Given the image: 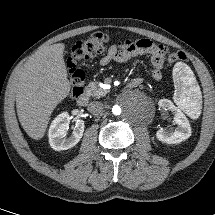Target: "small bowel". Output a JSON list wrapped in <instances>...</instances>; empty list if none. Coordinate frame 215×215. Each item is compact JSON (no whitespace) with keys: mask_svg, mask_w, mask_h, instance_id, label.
Listing matches in <instances>:
<instances>
[{"mask_svg":"<svg viewBox=\"0 0 215 215\" xmlns=\"http://www.w3.org/2000/svg\"><path fill=\"white\" fill-rule=\"evenodd\" d=\"M164 52L162 46L156 45L149 39H126L123 42L111 45L107 53L99 60V65L104 67L112 61L125 63L132 58L148 55L153 66L152 77L155 81H161L163 77ZM135 79L140 82V79Z\"/></svg>","mask_w":215,"mask_h":215,"instance_id":"obj_1","label":"small bowel"}]
</instances>
